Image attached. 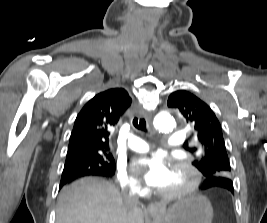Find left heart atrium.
<instances>
[{
	"mask_svg": "<svg viewBox=\"0 0 267 223\" xmlns=\"http://www.w3.org/2000/svg\"><path fill=\"white\" fill-rule=\"evenodd\" d=\"M134 169L150 187L160 189L170 178L171 171L157 156H144L134 161Z\"/></svg>",
	"mask_w": 267,
	"mask_h": 223,
	"instance_id": "left-heart-atrium-1",
	"label": "left heart atrium"
}]
</instances>
